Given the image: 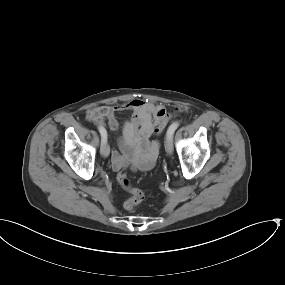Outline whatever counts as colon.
<instances>
[{
	"mask_svg": "<svg viewBox=\"0 0 285 285\" xmlns=\"http://www.w3.org/2000/svg\"><path fill=\"white\" fill-rule=\"evenodd\" d=\"M172 115L173 114L170 112L167 113L164 108L160 109L158 113L159 119L157 120L156 124L157 133L162 132V130L165 128ZM117 181L125 190H127L130 193V197L124 203L125 209L128 211L133 210L134 207L143 200L144 197L143 192L140 189L133 187L131 185L126 169H121L118 171Z\"/></svg>",
	"mask_w": 285,
	"mask_h": 285,
	"instance_id": "1",
	"label": "colon"
}]
</instances>
